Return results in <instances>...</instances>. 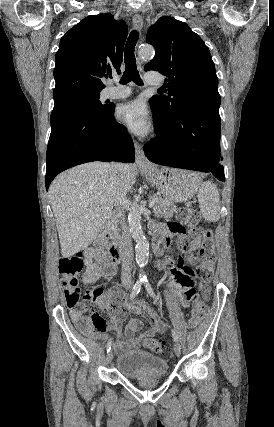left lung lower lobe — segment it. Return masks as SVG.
Wrapping results in <instances>:
<instances>
[{"label":"left lung lower lobe","mask_w":274,"mask_h":427,"mask_svg":"<svg viewBox=\"0 0 274 427\" xmlns=\"http://www.w3.org/2000/svg\"><path fill=\"white\" fill-rule=\"evenodd\" d=\"M149 103L158 136L144 146L146 157L160 165L212 172L225 181L219 112L194 107L166 118V113L150 100Z\"/></svg>","instance_id":"1"}]
</instances>
